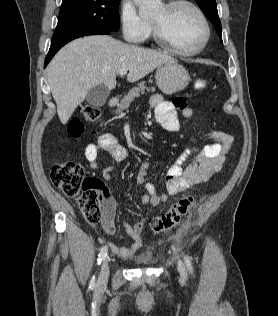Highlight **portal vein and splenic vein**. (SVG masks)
<instances>
[{
	"instance_id": "portal-vein-and-splenic-vein-1",
	"label": "portal vein and splenic vein",
	"mask_w": 278,
	"mask_h": 316,
	"mask_svg": "<svg viewBox=\"0 0 278 316\" xmlns=\"http://www.w3.org/2000/svg\"><path fill=\"white\" fill-rule=\"evenodd\" d=\"M120 75H125L127 73V69H121L118 72Z\"/></svg>"
}]
</instances>
